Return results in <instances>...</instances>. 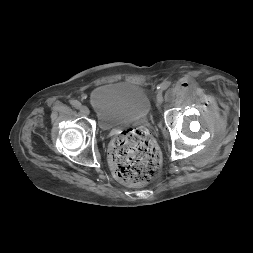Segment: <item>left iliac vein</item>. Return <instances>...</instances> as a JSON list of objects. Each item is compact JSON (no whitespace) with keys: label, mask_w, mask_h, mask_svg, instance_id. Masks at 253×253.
Masks as SVG:
<instances>
[{"label":"left iliac vein","mask_w":253,"mask_h":253,"mask_svg":"<svg viewBox=\"0 0 253 253\" xmlns=\"http://www.w3.org/2000/svg\"><path fill=\"white\" fill-rule=\"evenodd\" d=\"M162 101H163V97H162V94L159 92L157 94V102H158L159 105H161Z\"/></svg>","instance_id":"obj_1"}]
</instances>
